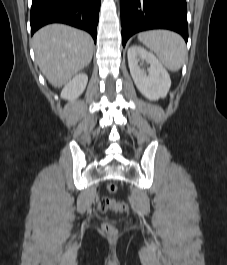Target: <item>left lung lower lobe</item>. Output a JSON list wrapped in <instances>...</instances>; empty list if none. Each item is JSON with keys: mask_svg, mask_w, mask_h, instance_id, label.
<instances>
[{"mask_svg": "<svg viewBox=\"0 0 227 265\" xmlns=\"http://www.w3.org/2000/svg\"><path fill=\"white\" fill-rule=\"evenodd\" d=\"M122 43L135 33L170 29L188 40L186 0H120Z\"/></svg>", "mask_w": 227, "mask_h": 265, "instance_id": "1", "label": "left lung lower lobe"}]
</instances>
